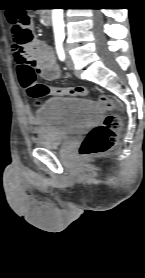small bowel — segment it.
<instances>
[{
    "mask_svg": "<svg viewBox=\"0 0 145 278\" xmlns=\"http://www.w3.org/2000/svg\"><path fill=\"white\" fill-rule=\"evenodd\" d=\"M11 51L17 65L20 85L24 77H29L33 74L34 69H37L40 76L45 80L54 81L60 78L61 71L54 51L48 45L36 40L30 47L22 48L13 43Z\"/></svg>",
    "mask_w": 145,
    "mask_h": 278,
    "instance_id": "1",
    "label": "small bowel"
}]
</instances>
